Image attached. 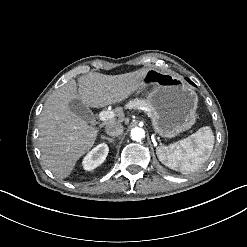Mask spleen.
Returning <instances> with one entry per match:
<instances>
[{
    "instance_id": "spleen-1",
    "label": "spleen",
    "mask_w": 247,
    "mask_h": 247,
    "mask_svg": "<svg viewBox=\"0 0 247 247\" xmlns=\"http://www.w3.org/2000/svg\"><path fill=\"white\" fill-rule=\"evenodd\" d=\"M214 134L209 126L200 128L190 137L168 147H157L159 160L171 169L182 174L200 170L208 160L214 145ZM173 150L169 151V148Z\"/></svg>"
}]
</instances>
